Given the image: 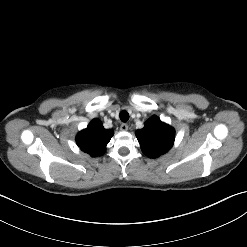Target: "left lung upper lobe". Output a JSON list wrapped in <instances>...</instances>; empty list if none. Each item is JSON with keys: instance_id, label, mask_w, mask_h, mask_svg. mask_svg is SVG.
<instances>
[{"instance_id": "left-lung-upper-lobe-1", "label": "left lung upper lobe", "mask_w": 247, "mask_h": 247, "mask_svg": "<svg viewBox=\"0 0 247 247\" xmlns=\"http://www.w3.org/2000/svg\"><path fill=\"white\" fill-rule=\"evenodd\" d=\"M142 152L149 158H157L168 152L175 139V131L158 117L152 116L144 124V128L136 131Z\"/></svg>"}]
</instances>
